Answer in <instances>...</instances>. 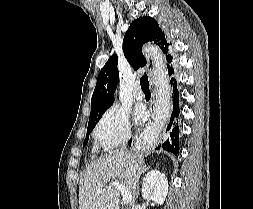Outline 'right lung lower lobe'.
<instances>
[{"label": "right lung lower lobe", "mask_w": 253, "mask_h": 209, "mask_svg": "<svg viewBox=\"0 0 253 209\" xmlns=\"http://www.w3.org/2000/svg\"><path fill=\"white\" fill-rule=\"evenodd\" d=\"M174 70L169 72L170 85L172 87V98H173V109L171 116L169 117L167 123L164 125L161 135L159 137V145L156 149L163 148L164 150L175 154L176 156L179 154V92L177 89V81L175 77H173ZM130 140V145H131Z\"/></svg>", "instance_id": "98d812e1"}]
</instances>
